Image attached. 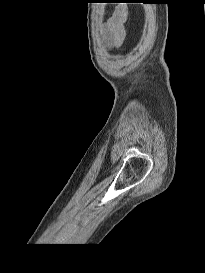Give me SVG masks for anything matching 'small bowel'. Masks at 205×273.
<instances>
[{"instance_id": "c3829d8e", "label": "small bowel", "mask_w": 205, "mask_h": 273, "mask_svg": "<svg viewBox=\"0 0 205 273\" xmlns=\"http://www.w3.org/2000/svg\"><path fill=\"white\" fill-rule=\"evenodd\" d=\"M126 16L115 12L105 26V40L109 45L119 46L125 38L124 22Z\"/></svg>"}]
</instances>
